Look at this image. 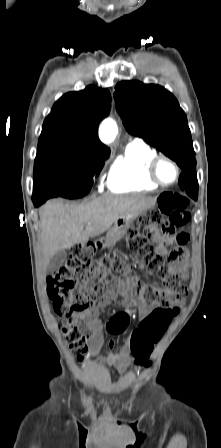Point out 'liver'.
Segmentation results:
<instances>
[{
  "label": "liver",
  "instance_id": "liver-1",
  "mask_svg": "<svg viewBox=\"0 0 221 448\" xmlns=\"http://www.w3.org/2000/svg\"><path fill=\"white\" fill-rule=\"evenodd\" d=\"M151 200L140 195H104L80 205L59 200L45 203L39 210L44 266L58 251L103 234L122 214Z\"/></svg>",
  "mask_w": 221,
  "mask_h": 448
}]
</instances>
